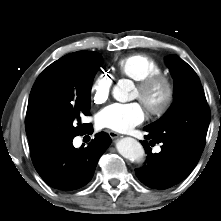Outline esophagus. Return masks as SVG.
<instances>
[{"label":"esophagus","mask_w":221,"mask_h":221,"mask_svg":"<svg viewBox=\"0 0 221 221\" xmlns=\"http://www.w3.org/2000/svg\"><path fill=\"white\" fill-rule=\"evenodd\" d=\"M108 134L112 139L118 138L120 136V134L111 130L108 131Z\"/></svg>","instance_id":"1"}]
</instances>
